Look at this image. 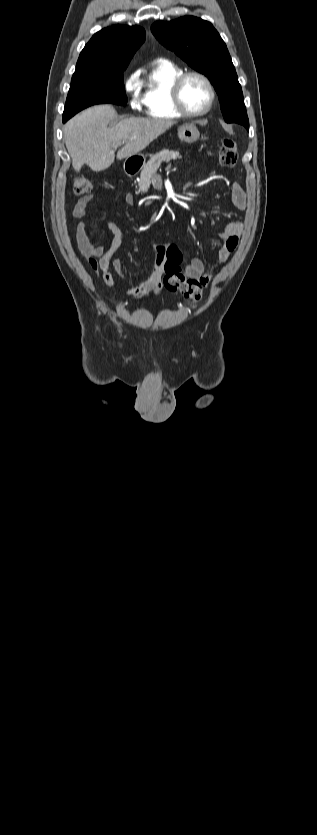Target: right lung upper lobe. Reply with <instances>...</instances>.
I'll return each instance as SVG.
<instances>
[{
    "label": "right lung upper lobe",
    "mask_w": 317,
    "mask_h": 835,
    "mask_svg": "<svg viewBox=\"0 0 317 835\" xmlns=\"http://www.w3.org/2000/svg\"><path fill=\"white\" fill-rule=\"evenodd\" d=\"M145 40L138 26L116 25L97 32L86 44L76 64L79 70H125L136 50Z\"/></svg>",
    "instance_id": "1"
}]
</instances>
